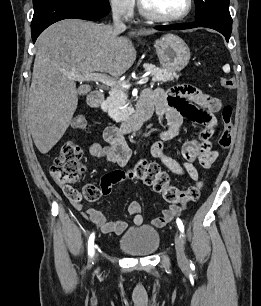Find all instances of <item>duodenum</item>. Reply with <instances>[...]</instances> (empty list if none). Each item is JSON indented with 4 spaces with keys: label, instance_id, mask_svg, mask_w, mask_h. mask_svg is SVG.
Wrapping results in <instances>:
<instances>
[{
    "label": "duodenum",
    "instance_id": "obj_1",
    "mask_svg": "<svg viewBox=\"0 0 261 306\" xmlns=\"http://www.w3.org/2000/svg\"><path fill=\"white\" fill-rule=\"evenodd\" d=\"M103 101V93L95 92L90 95L88 102L91 107H99ZM152 114L153 107L151 103L141 98L136 111L122 123L121 130L125 133L138 130Z\"/></svg>",
    "mask_w": 261,
    "mask_h": 306
}]
</instances>
